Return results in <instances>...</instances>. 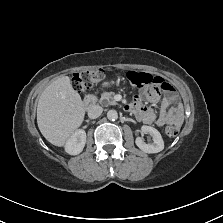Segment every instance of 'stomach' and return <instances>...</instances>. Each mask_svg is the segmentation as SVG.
<instances>
[{
  "instance_id": "stomach-1",
  "label": "stomach",
  "mask_w": 223,
  "mask_h": 223,
  "mask_svg": "<svg viewBox=\"0 0 223 223\" xmlns=\"http://www.w3.org/2000/svg\"><path fill=\"white\" fill-rule=\"evenodd\" d=\"M103 86L104 87H108L109 86V83H104Z\"/></svg>"
}]
</instances>
